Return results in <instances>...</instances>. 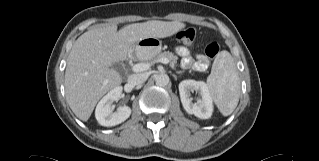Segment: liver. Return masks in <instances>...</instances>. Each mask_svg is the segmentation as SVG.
I'll list each match as a JSON object with an SVG mask.
<instances>
[{
    "mask_svg": "<svg viewBox=\"0 0 319 161\" xmlns=\"http://www.w3.org/2000/svg\"><path fill=\"white\" fill-rule=\"evenodd\" d=\"M185 27L179 21H147L127 25H100L82 34L73 44L65 70L66 100L82 121L91 116L99 99L122 83L113 64L126 60L132 47L144 38H166Z\"/></svg>",
    "mask_w": 319,
    "mask_h": 161,
    "instance_id": "liver-1",
    "label": "liver"
}]
</instances>
